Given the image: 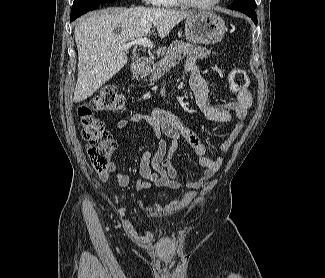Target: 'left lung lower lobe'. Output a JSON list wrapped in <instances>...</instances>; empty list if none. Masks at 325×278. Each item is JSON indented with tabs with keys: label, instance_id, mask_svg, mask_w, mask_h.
Masks as SVG:
<instances>
[{
	"label": "left lung lower lobe",
	"instance_id": "1",
	"mask_svg": "<svg viewBox=\"0 0 325 278\" xmlns=\"http://www.w3.org/2000/svg\"><path fill=\"white\" fill-rule=\"evenodd\" d=\"M228 8L244 13L257 23L255 0H235Z\"/></svg>",
	"mask_w": 325,
	"mask_h": 278
}]
</instances>
